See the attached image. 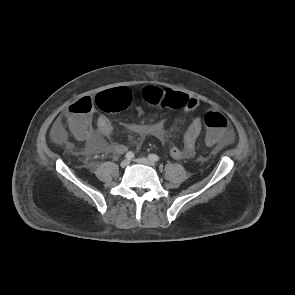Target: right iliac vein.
<instances>
[{"label":"right iliac vein","instance_id":"63e3f726","mask_svg":"<svg viewBox=\"0 0 295 295\" xmlns=\"http://www.w3.org/2000/svg\"><path fill=\"white\" fill-rule=\"evenodd\" d=\"M129 164H130V161H129L128 159H124V160L121 162L120 166H121L122 168H125V167H127Z\"/></svg>","mask_w":295,"mask_h":295}]
</instances>
